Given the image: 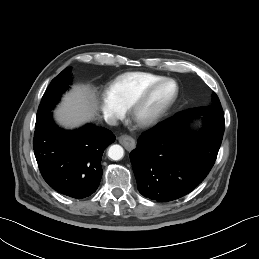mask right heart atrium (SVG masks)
<instances>
[{
  "label": "right heart atrium",
  "instance_id": "d8ad5b80",
  "mask_svg": "<svg viewBox=\"0 0 259 259\" xmlns=\"http://www.w3.org/2000/svg\"><path fill=\"white\" fill-rule=\"evenodd\" d=\"M101 109L104 117L109 122L121 119L125 115V110L112 101L107 95L101 98Z\"/></svg>",
  "mask_w": 259,
  "mask_h": 259
}]
</instances>
